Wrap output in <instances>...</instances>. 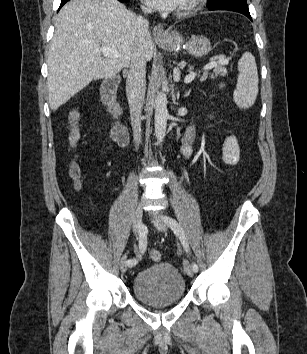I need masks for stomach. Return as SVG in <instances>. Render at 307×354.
I'll use <instances>...</instances> for the list:
<instances>
[{
	"label": "stomach",
	"instance_id": "obj_1",
	"mask_svg": "<svg viewBox=\"0 0 307 354\" xmlns=\"http://www.w3.org/2000/svg\"><path fill=\"white\" fill-rule=\"evenodd\" d=\"M157 44L167 51H178L185 44L186 51L197 58L208 55L211 51L210 40L204 36L193 35L185 43L184 38L178 32L169 33L164 39H157Z\"/></svg>",
	"mask_w": 307,
	"mask_h": 354
}]
</instances>
